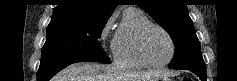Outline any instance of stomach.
Returning a JSON list of instances; mask_svg holds the SVG:
<instances>
[{
	"label": "stomach",
	"mask_w": 237,
	"mask_h": 81,
	"mask_svg": "<svg viewBox=\"0 0 237 81\" xmlns=\"http://www.w3.org/2000/svg\"><path fill=\"white\" fill-rule=\"evenodd\" d=\"M151 81H172V80L169 76L163 75V76L157 77Z\"/></svg>",
	"instance_id": "stomach-1"
}]
</instances>
